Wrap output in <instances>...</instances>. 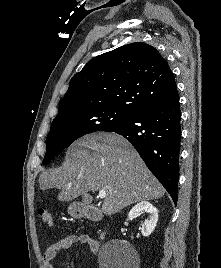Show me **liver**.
Wrapping results in <instances>:
<instances>
[{"label":"liver","mask_w":221,"mask_h":268,"mask_svg":"<svg viewBox=\"0 0 221 268\" xmlns=\"http://www.w3.org/2000/svg\"><path fill=\"white\" fill-rule=\"evenodd\" d=\"M40 189H60L59 201H72L89 191L105 190L102 212L113 215L125 207L161 198L165 189L120 135L98 133L74 142L62 167L44 171Z\"/></svg>","instance_id":"liver-1"}]
</instances>
